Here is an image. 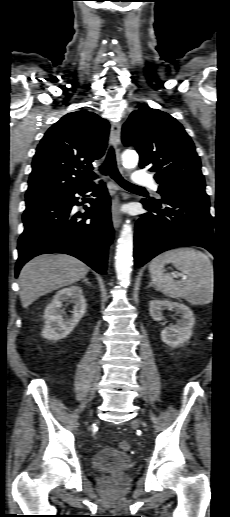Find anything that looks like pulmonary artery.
Masks as SVG:
<instances>
[{"mask_svg": "<svg viewBox=\"0 0 230 517\" xmlns=\"http://www.w3.org/2000/svg\"><path fill=\"white\" fill-rule=\"evenodd\" d=\"M133 183L136 185H149L154 190L157 189L153 177L150 174L145 173L143 170H136L133 174Z\"/></svg>", "mask_w": 230, "mask_h": 517, "instance_id": "1", "label": "pulmonary artery"}]
</instances>
